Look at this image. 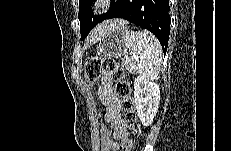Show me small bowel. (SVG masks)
<instances>
[{
	"label": "small bowel",
	"mask_w": 231,
	"mask_h": 151,
	"mask_svg": "<svg viewBox=\"0 0 231 151\" xmlns=\"http://www.w3.org/2000/svg\"><path fill=\"white\" fill-rule=\"evenodd\" d=\"M114 80L110 74L102 77L98 95L105 107L104 119L111 126L112 133L109 146L115 149L120 139L128 134L130 126L122 116V106L119 97L114 93Z\"/></svg>",
	"instance_id": "1"
}]
</instances>
